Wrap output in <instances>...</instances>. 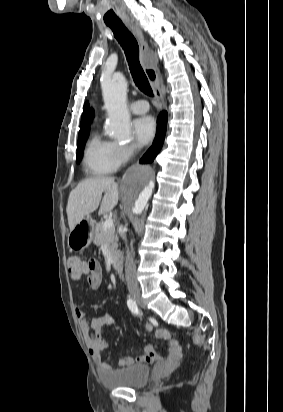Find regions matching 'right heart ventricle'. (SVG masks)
Wrapping results in <instances>:
<instances>
[{
    "label": "right heart ventricle",
    "mask_w": 283,
    "mask_h": 412,
    "mask_svg": "<svg viewBox=\"0 0 283 412\" xmlns=\"http://www.w3.org/2000/svg\"><path fill=\"white\" fill-rule=\"evenodd\" d=\"M83 162L85 169L93 175L115 172L120 166L116 157V143L95 134L87 143Z\"/></svg>",
    "instance_id": "1"
}]
</instances>
